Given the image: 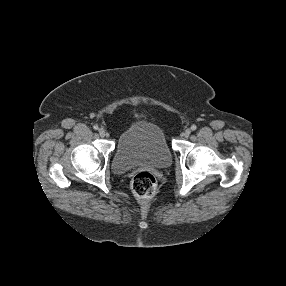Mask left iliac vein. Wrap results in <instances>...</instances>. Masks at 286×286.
<instances>
[{"instance_id":"1","label":"left iliac vein","mask_w":286,"mask_h":286,"mask_svg":"<svg viewBox=\"0 0 286 286\" xmlns=\"http://www.w3.org/2000/svg\"><path fill=\"white\" fill-rule=\"evenodd\" d=\"M190 134H191V130H190V129H185V130L183 131V136H184L185 138L189 137Z\"/></svg>"}]
</instances>
